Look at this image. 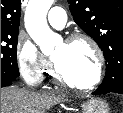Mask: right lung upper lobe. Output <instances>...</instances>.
<instances>
[{
	"label": "right lung upper lobe",
	"mask_w": 123,
	"mask_h": 113,
	"mask_svg": "<svg viewBox=\"0 0 123 113\" xmlns=\"http://www.w3.org/2000/svg\"><path fill=\"white\" fill-rule=\"evenodd\" d=\"M20 0H1V30L19 29Z\"/></svg>",
	"instance_id": "1"
}]
</instances>
